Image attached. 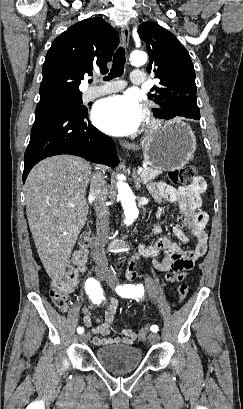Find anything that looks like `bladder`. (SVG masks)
Segmentation results:
<instances>
[{"label":"bladder","mask_w":243,"mask_h":409,"mask_svg":"<svg viewBox=\"0 0 243 409\" xmlns=\"http://www.w3.org/2000/svg\"><path fill=\"white\" fill-rule=\"evenodd\" d=\"M95 358L106 370L122 373L137 368L142 361L143 352L135 346L114 343L97 348Z\"/></svg>","instance_id":"1"}]
</instances>
